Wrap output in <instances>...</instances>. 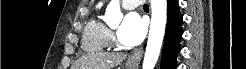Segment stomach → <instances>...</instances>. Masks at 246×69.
Returning <instances> with one entry per match:
<instances>
[{"instance_id": "obj_1", "label": "stomach", "mask_w": 246, "mask_h": 69, "mask_svg": "<svg viewBox=\"0 0 246 69\" xmlns=\"http://www.w3.org/2000/svg\"><path fill=\"white\" fill-rule=\"evenodd\" d=\"M136 68H137V64L136 63L127 62L126 69H136Z\"/></svg>"}]
</instances>
